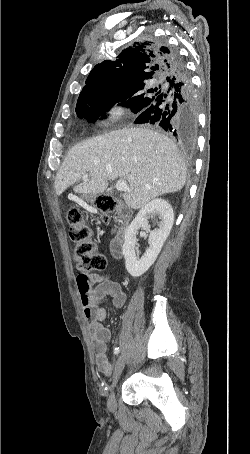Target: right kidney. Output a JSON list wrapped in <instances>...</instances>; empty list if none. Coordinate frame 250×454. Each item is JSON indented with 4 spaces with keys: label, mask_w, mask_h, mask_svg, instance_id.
Here are the masks:
<instances>
[{
    "label": "right kidney",
    "mask_w": 250,
    "mask_h": 454,
    "mask_svg": "<svg viewBox=\"0 0 250 454\" xmlns=\"http://www.w3.org/2000/svg\"><path fill=\"white\" fill-rule=\"evenodd\" d=\"M158 216L160 221L158 228L150 232L148 241L149 248L144 255L138 259L135 246L136 235L140 228L149 229L148 219ZM174 223V213L171 205L164 199L156 198L140 209L135 219L125 231L122 253L125 258V267L133 277L144 274L155 262L164 242L170 234Z\"/></svg>",
    "instance_id": "obj_1"
}]
</instances>
